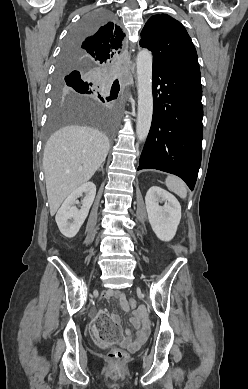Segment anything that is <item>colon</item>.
I'll use <instances>...</instances> for the list:
<instances>
[{"mask_svg":"<svg viewBox=\"0 0 248 389\" xmlns=\"http://www.w3.org/2000/svg\"><path fill=\"white\" fill-rule=\"evenodd\" d=\"M136 305L134 299H129L127 302V307L133 309ZM94 323L89 327V332L94 333L96 338L99 341L96 342V345L100 349H103L106 344H114L115 340H123L124 334L120 330L121 323L113 322V319L108 315L107 311H98L97 315L94 316ZM108 360L110 370L113 372H118L126 360L127 354L124 350L119 348L111 349L108 352Z\"/></svg>","mask_w":248,"mask_h":389,"instance_id":"5ec220e1","label":"colon"}]
</instances>
